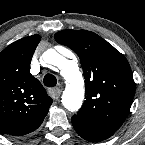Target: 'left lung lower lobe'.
Here are the masks:
<instances>
[{
    "label": "left lung lower lobe",
    "instance_id": "1",
    "mask_svg": "<svg viewBox=\"0 0 145 145\" xmlns=\"http://www.w3.org/2000/svg\"><path fill=\"white\" fill-rule=\"evenodd\" d=\"M72 125L82 138L90 142H99L113 135L111 132L93 128L75 117H72Z\"/></svg>",
    "mask_w": 145,
    "mask_h": 145
}]
</instances>
